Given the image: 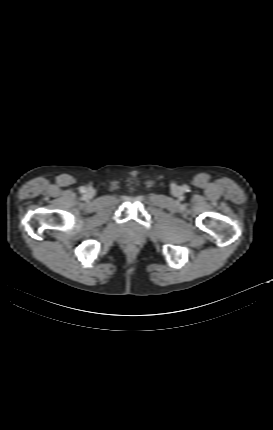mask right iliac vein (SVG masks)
Returning a JSON list of instances; mask_svg holds the SVG:
<instances>
[{"label": "right iliac vein", "instance_id": "63e3f726", "mask_svg": "<svg viewBox=\"0 0 273 430\" xmlns=\"http://www.w3.org/2000/svg\"><path fill=\"white\" fill-rule=\"evenodd\" d=\"M94 195H95V190H94V189H92V188H89V189L86 191V194H85V196H86L87 198H92Z\"/></svg>", "mask_w": 273, "mask_h": 430}]
</instances>
